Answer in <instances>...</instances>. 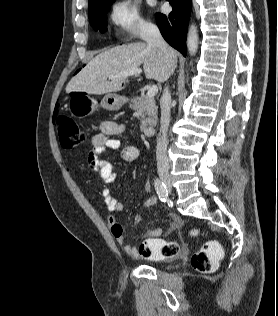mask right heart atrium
<instances>
[{
	"mask_svg": "<svg viewBox=\"0 0 278 316\" xmlns=\"http://www.w3.org/2000/svg\"><path fill=\"white\" fill-rule=\"evenodd\" d=\"M109 21L117 35L134 38L151 27L136 0H115L109 10Z\"/></svg>",
	"mask_w": 278,
	"mask_h": 316,
	"instance_id": "d8ad5b80",
	"label": "right heart atrium"
}]
</instances>
